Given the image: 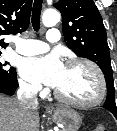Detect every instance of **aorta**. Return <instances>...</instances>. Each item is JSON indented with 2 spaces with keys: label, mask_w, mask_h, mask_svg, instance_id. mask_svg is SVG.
Returning <instances> with one entry per match:
<instances>
[{
  "label": "aorta",
  "mask_w": 117,
  "mask_h": 131,
  "mask_svg": "<svg viewBox=\"0 0 117 131\" xmlns=\"http://www.w3.org/2000/svg\"><path fill=\"white\" fill-rule=\"evenodd\" d=\"M42 21L46 27L55 26L60 21V13L54 9H47L43 13Z\"/></svg>",
  "instance_id": "aorta-1"
}]
</instances>
